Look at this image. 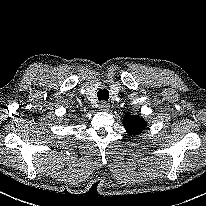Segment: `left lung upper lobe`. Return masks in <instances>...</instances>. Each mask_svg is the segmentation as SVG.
<instances>
[{
    "instance_id": "5c2ea615",
    "label": "left lung upper lobe",
    "mask_w": 206,
    "mask_h": 206,
    "mask_svg": "<svg viewBox=\"0 0 206 206\" xmlns=\"http://www.w3.org/2000/svg\"><path fill=\"white\" fill-rule=\"evenodd\" d=\"M147 123L143 118L133 115H126L123 119V126L130 135L140 134Z\"/></svg>"
}]
</instances>
